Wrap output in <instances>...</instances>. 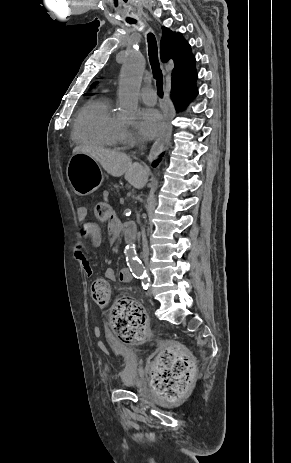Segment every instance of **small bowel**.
Wrapping results in <instances>:
<instances>
[{
  "instance_id": "1",
  "label": "small bowel",
  "mask_w": 291,
  "mask_h": 463,
  "mask_svg": "<svg viewBox=\"0 0 291 463\" xmlns=\"http://www.w3.org/2000/svg\"><path fill=\"white\" fill-rule=\"evenodd\" d=\"M78 218L80 220V228H79V235L80 239L88 238L92 245L95 247H98L101 245L102 242V234L99 229V227L88 220V210L86 208H81L78 211ZM108 223V232H109V237L110 239L108 240V243L111 246H116L119 243V240L117 239L118 234L120 233V228L119 226V221L117 217L112 213V218L107 219L106 221ZM74 255L76 260L79 262L81 265L83 273L90 277L93 274V269L84 254L82 250V242H78L75 245V250H74ZM130 273V272H129ZM125 269H122L117 275L116 271L112 268H107L104 272V276L106 279L109 281H116L119 280L120 282H130L132 280V274L129 276Z\"/></svg>"
}]
</instances>
